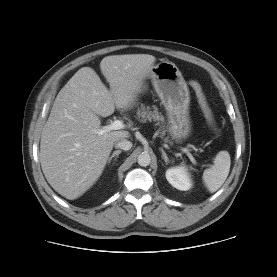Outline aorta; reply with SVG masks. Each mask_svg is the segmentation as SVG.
Instances as JSON below:
<instances>
[{"label": "aorta", "mask_w": 277, "mask_h": 277, "mask_svg": "<svg viewBox=\"0 0 277 277\" xmlns=\"http://www.w3.org/2000/svg\"><path fill=\"white\" fill-rule=\"evenodd\" d=\"M138 164L140 166L146 167L150 164L151 162V157L148 153L146 152H142L139 156H138Z\"/></svg>", "instance_id": "aorta-1"}]
</instances>
